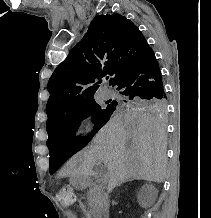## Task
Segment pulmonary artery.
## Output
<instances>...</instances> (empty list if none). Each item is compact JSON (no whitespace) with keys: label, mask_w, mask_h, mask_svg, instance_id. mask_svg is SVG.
<instances>
[{"label":"pulmonary artery","mask_w":211,"mask_h":218,"mask_svg":"<svg viewBox=\"0 0 211 218\" xmlns=\"http://www.w3.org/2000/svg\"><path fill=\"white\" fill-rule=\"evenodd\" d=\"M114 96V92H113V90H111L109 87H104L103 88V97L105 98V99H110V98H112Z\"/></svg>","instance_id":"obj_1"}]
</instances>
